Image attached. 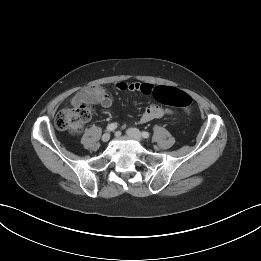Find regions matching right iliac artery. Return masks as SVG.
Here are the masks:
<instances>
[{
	"instance_id": "1",
	"label": "right iliac artery",
	"mask_w": 261,
	"mask_h": 261,
	"mask_svg": "<svg viewBox=\"0 0 261 261\" xmlns=\"http://www.w3.org/2000/svg\"><path fill=\"white\" fill-rule=\"evenodd\" d=\"M117 123H111L107 126V131H114L117 128Z\"/></svg>"
}]
</instances>
